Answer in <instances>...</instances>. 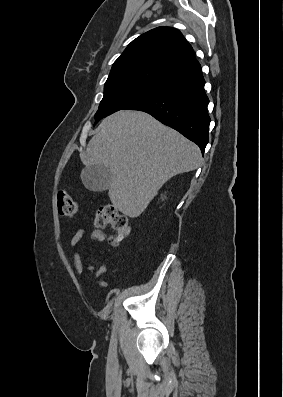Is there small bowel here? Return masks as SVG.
Segmentation results:
<instances>
[{
	"label": "small bowel",
	"mask_w": 283,
	"mask_h": 397,
	"mask_svg": "<svg viewBox=\"0 0 283 397\" xmlns=\"http://www.w3.org/2000/svg\"><path fill=\"white\" fill-rule=\"evenodd\" d=\"M106 237H107L106 233L100 229H94L88 233L84 227H80L76 230V232L70 239L69 246L71 249L74 250L73 260H74V266H75L76 272L78 274H81L83 272V264H82L80 253L76 249L77 246L85 238H88L90 240L97 241V242H103V241H105ZM105 271H106V268L104 266H101L97 271V276L100 277L101 275H103L105 273Z\"/></svg>",
	"instance_id": "1"
}]
</instances>
